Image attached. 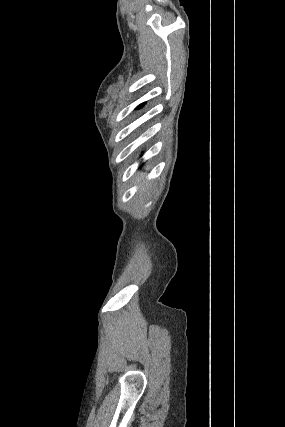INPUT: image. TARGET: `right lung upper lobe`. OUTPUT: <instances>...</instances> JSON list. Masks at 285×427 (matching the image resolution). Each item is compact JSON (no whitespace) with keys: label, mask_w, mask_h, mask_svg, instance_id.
<instances>
[{"label":"right lung upper lobe","mask_w":285,"mask_h":427,"mask_svg":"<svg viewBox=\"0 0 285 427\" xmlns=\"http://www.w3.org/2000/svg\"><path fill=\"white\" fill-rule=\"evenodd\" d=\"M141 106H142V104H141V105H139V106H138V108H139V107H141Z\"/></svg>","instance_id":"cb5924a9"}]
</instances>
